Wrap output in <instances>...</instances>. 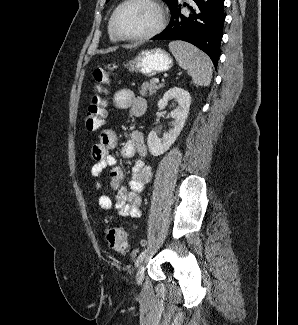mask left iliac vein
Here are the masks:
<instances>
[{
	"label": "left iliac vein",
	"mask_w": 298,
	"mask_h": 325,
	"mask_svg": "<svg viewBox=\"0 0 298 325\" xmlns=\"http://www.w3.org/2000/svg\"><path fill=\"white\" fill-rule=\"evenodd\" d=\"M144 273H145V266L144 264H141L138 268L137 274H136V281L138 285H141L144 280Z\"/></svg>",
	"instance_id": "4c4485c4"
}]
</instances>
